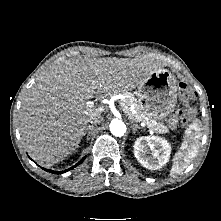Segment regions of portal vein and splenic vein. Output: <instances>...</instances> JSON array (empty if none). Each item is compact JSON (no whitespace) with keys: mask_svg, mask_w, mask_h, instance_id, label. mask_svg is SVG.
Returning <instances> with one entry per match:
<instances>
[{"mask_svg":"<svg viewBox=\"0 0 221 221\" xmlns=\"http://www.w3.org/2000/svg\"><path fill=\"white\" fill-rule=\"evenodd\" d=\"M120 106H121V108L123 109V111L125 113H127L129 111V109H130V107H128L124 103H120ZM87 107H88L89 111H92V110L94 111L95 110V106H94V104L92 102H87ZM102 111H104L103 106L96 109V112H102Z\"/></svg>","mask_w":221,"mask_h":221,"instance_id":"18ae733b","label":"portal vein and splenic vein"}]
</instances>
